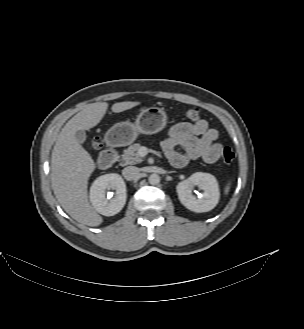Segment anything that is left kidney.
<instances>
[{
  "label": "left kidney",
  "mask_w": 304,
  "mask_h": 329,
  "mask_svg": "<svg viewBox=\"0 0 304 329\" xmlns=\"http://www.w3.org/2000/svg\"><path fill=\"white\" fill-rule=\"evenodd\" d=\"M198 186L204 191L200 198L192 195V187ZM177 194L180 202L193 212H208L212 210L219 201L220 192L216 178L203 172H196L189 178L178 183Z\"/></svg>",
  "instance_id": "left-kidney-1"
}]
</instances>
